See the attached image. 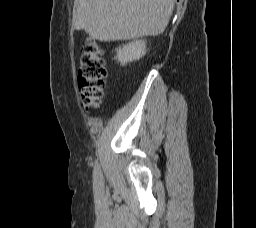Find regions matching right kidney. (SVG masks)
I'll return each instance as SVG.
<instances>
[{"mask_svg":"<svg viewBox=\"0 0 256 228\" xmlns=\"http://www.w3.org/2000/svg\"><path fill=\"white\" fill-rule=\"evenodd\" d=\"M146 53V41L136 40L132 41L123 47L117 49V55L115 59L121 64H127L128 62L136 61L142 58Z\"/></svg>","mask_w":256,"mask_h":228,"instance_id":"obj_1","label":"right kidney"}]
</instances>
